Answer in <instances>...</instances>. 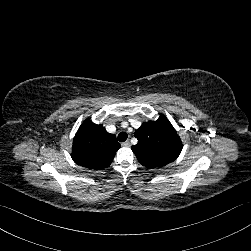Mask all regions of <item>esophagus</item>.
I'll use <instances>...</instances> for the list:
<instances>
[{"instance_id": "34e87169", "label": "esophagus", "mask_w": 251, "mask_h": 251, "mask_svg": "<svg viewBox=\"0 0 251 251\" xmlns=\"http://www.w3.org/2000/svg\"><path fill=\"white\" fill-rule=\"evenodd\" d=\"M121 145L124 147H128V146H130V141L127 140V141L123 142Z\"/></svg>"}]
</instances>
